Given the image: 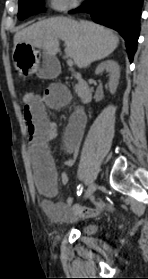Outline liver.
I'll use <instances>...</instances> for the list:
<instances>
[{
    "mask_svg": "<svg viewBox=\"0 0 148 279\" xmlns=\"http://www.w3.org/2000/svg\"><path fill=\"white\" fill-rule=\"evenodd\" d=\"M59 40L65 42V54L79 68L109 56L119 38L109 29L90 21L54 17L34 23L14 35V45L25 43L55 57Z\"/></svg>",
    "mask_w": 148,
    "mask_h": 279,
    "instance_id": "liver-1",
    "label": "liver"
}]
</instances>
